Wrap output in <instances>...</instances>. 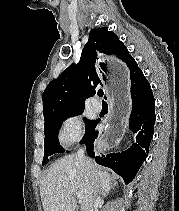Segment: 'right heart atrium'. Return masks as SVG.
I'll list each match as a JSON object with an SVG mask.
<instances>
[{"mask_svg":"<svg viewBox=\"0 0 179 211\" xmlns=\"http://www.w3.org/2000/svg\"><path fill=\"white\" fill-rule=\"evenodd\" d=\"M83 131L84 125L81 117L73 114L62 121L58 132V139L64 147H70L82 138Z\"/></svg>","mask_w":179,"mask_h":211,"instance_id":"1","label":"right heart atrium"}]
</instances>
